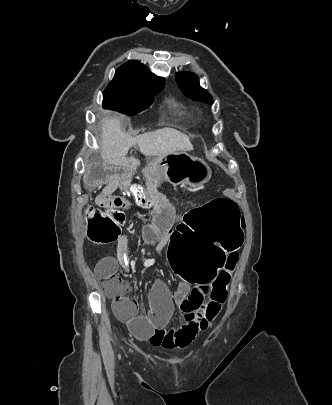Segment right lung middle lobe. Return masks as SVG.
I'll use <instances>...</instances> for the list:
<instances>
[{
    "label": "right lung middle lobe",
    "instance_id": "1",
    "mask_svg": "<svg viewBox=\"0 0 332 405\" xmlns=\"http://www.w3.org/2000/svg\"><path fill=\"white\" fill-rule=\"evenodd\" d=\"M164 86L142 88L113 79L103 94V107L134 115L147 109Z\"/></svg>",
    "mask_w": 332,
    "mask_h": 405
}]
</instances>
